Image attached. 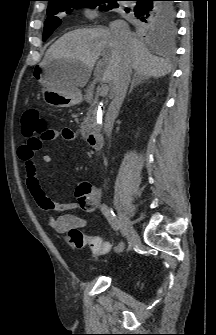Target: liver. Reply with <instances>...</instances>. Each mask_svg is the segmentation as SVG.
Masks as SVG:
<instances>
[{"label":"liver","mask_w":216,"mask_h":335,"mask_svg":"<svg viewBox=\"0 0 216 335\" xmlns=\"http://www.w3.org/2000/svg\"><path fill=\"white\" fill-rule=\"evenodd\" d=\"M94 75L101 82L109 83L113 94L114 81L126 60L135 74L159 78L170 73L167 61L152 55L145 44L130 37L127 42H118L107 28L97 27L70 31L60 37L46 51L42 64L55 60L78 62L66 76V81L75 90L85 86L98 61Z\"/></svg>","instance_id":"1"}]
</instances>
